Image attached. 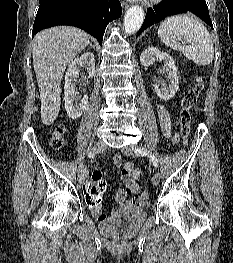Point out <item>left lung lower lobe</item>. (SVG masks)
I'll return each instance as SVG.
<instances>
[{
	"mask_svg": "<svg viewBox=\"0 0 233 263\" xmlns=\"http://www.w3.org/2000/svg\"><path fill=\"white\" fill-rule=\"evenodd\" d=\"M191 12L203 19L210 27L213 28L212 21L205 0H163L154 9H148L141 29L137 36L146 28L163 20L167 16Z\"/></svg>",
	"mask_w": 233,
	"mask_h": 263,
	"instance_id": "0a47b994",
	"label": "left lung lower lobe"
}]
</instances>
